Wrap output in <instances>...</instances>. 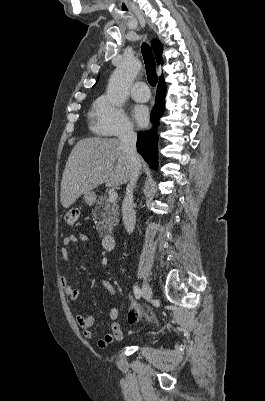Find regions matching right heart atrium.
Listing matches in <instances>:
<instances>
[{"label": "right heart atrium", "instance_id": "1", "mask_svg": "<svg viewBox=\"0 0 265 401\" xmlns=\"http://www.w3.org/2000/svg\"><path fill=\"white\" fill-rule=\"evenodd\" d=\"M93 120L96 128L105 135L125 137L134 132V125L123 108L107 96L98 100Z\"/></svg>", "mask_w": 265, "mask_h": 401}]
</instances>
